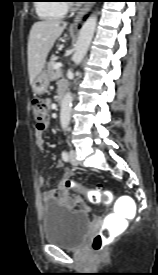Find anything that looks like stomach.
<instances>
[{
  "label": "stomach",
  "instance_id": "0dacf381",
  "mask_svg": "<svg viewBox=\"0 0 158 275\" xmlns=\"http://www.w3.org/2000/svg\"><path fill=\"white\" fill-rule=\"evenodd\" d=\"M49 85V78L46 71H41L34 79L32 83L33 92L37 95H41L47 91Z\"/></svg>",
  "mask_w": 158,
  "mask_h": 275
}]
</instances>
